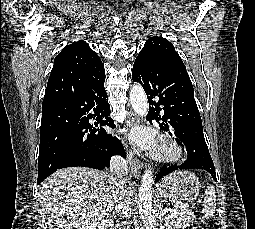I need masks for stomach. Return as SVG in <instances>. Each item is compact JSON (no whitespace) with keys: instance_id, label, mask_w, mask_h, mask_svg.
Instances as JSON below:
<instances>
[{"instance_id":"obj_1","label":"stomach","mask_w":255,"mask_h":229,"mask_svg":"<svg viewBox=\"0 0 255 229\" xmlns=\"http://www.w3.org/2000/svg\"><path fill=\"white\" fill-rule=\"evenodd\" d=\"M158 193L171 201L176 209L194 205L200 191L198 178L189 171H175L167 175L158 185Z\"/></svg>"}]
</instances>
